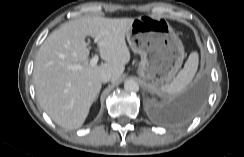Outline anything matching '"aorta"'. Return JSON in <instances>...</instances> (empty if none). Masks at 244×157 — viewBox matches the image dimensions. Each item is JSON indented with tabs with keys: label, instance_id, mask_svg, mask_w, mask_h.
Wrapping results in <instances>:
<instances>
[{
	"label": "aorta",
	"instance_id": "aorta-1",
	"mask_svg": "<svg viewBox=\"0 0 244 157\" xmlns=\"http://www.w3.org/2000/svg\"><path fill=\"white\" fill-rule=\"evenodd\" d=\"M124 89L127 92H138L139 91V84L132 79L126 80L124 83Z\"/></svg>",
	"mask_w": 244,
	"mask_h": 157
}]
</instances>
